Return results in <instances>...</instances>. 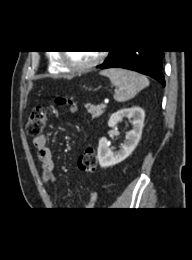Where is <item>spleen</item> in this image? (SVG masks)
Here are the masks:
<instances>
[{
    "label": "spleen",
    "mask_w": 192,
    "mask_h": 260,
    "mask_svg": "<svg viewBox=\"0 0 192 260\" xmlns=\"http://www.w3.org/2000/svg\"><path fill=\"white\" fill-rule=\"evenodd\" d=\"M101 75L110 79L111 83L117 87L114 99L117 102H125L149 86L148 79L139 73L120 68L105 69L100 72Z\"/></svg>",
    "instance_id": "1"
}]
</instances>
